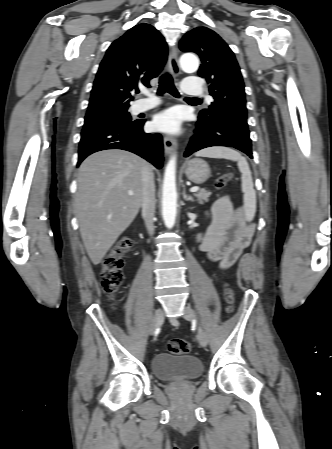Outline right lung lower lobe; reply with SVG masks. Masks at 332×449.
<instances>
[{
    "label": "right lung lower lobe",
    "mask_w": 332,
    "mask_h": 449,
    "mask_svg": "<svg viewBox=\"0 0 332 449\" xmlns=\"http://www.w3.org/2000/svg\"><path fill=\"white\" fill-rule=\"evenodd\" d=\"M145 120L129 124H99L82 129L77 166L90 154L106 149L133 152L160 169L163 166V141L158 133L143 131Z\"/></svg>",
    "instance_id": "1"
}]
</instances>
